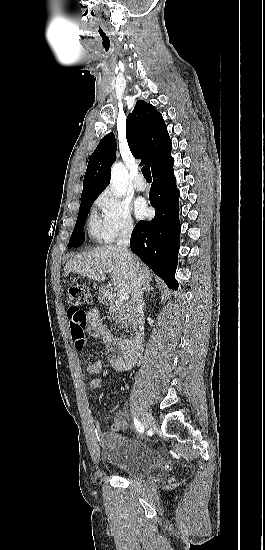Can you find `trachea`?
Masks as SVG:
<instances>
[{
  "label": "trachea",
  "instance_id": "3493384b",
  "mask_svg": "<svg viewBox=\"0 0 265 550\" xmlns=\"http://www.w3.org/2000/svg\"><path fill=\"white\" fill-rule=\"evenodd\" d=\"M141 171H142V174H143V176L146 180H152L151 171H150L149 166L146 165V166L142 167Z\"/></svg>",
  "mask_w": 265,
  "mask_h": 550
}]
</instances>
